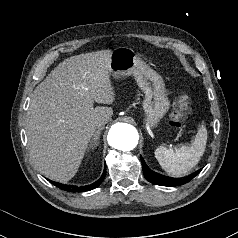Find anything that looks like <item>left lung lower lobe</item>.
I'll return each instance as SVG.
<instances>
[{
	"label": "left lung lower lobe",
	"mask_w": 238,
	"mask_h": 238,
	"mask_svg": "<svg viewBox=\"0 0 238 238\" xmlns=\"http://www.w3.org/2000/svg\"><path fill=\"white\" fill-rule=\"evenodd\" d=\"M142 162V167H143V173L145 178L156 185H162V186H179V185H183L187 182H189L190 180H192L201 170L195 172L194 174L183 178V179H174V178H169L160 174H157L155 172H153L152 170H150L144 163V161L141 159Z\"/></svg>",
	"instance_id": "left-lung-lower-lobe-1"
}]
</instances>
